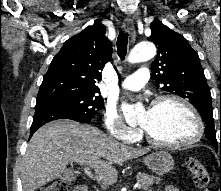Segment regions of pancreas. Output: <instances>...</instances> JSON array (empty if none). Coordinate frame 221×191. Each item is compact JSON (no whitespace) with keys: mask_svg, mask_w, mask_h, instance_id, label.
I'll return each mask as SVG.
<instances>
[{"mask_svg":"<svg viewBox=\"0 0 221 191\" xmlns=\"http://www.w3.org/2000/svg\"><path fill=\"white\" fill-rule=\"evenodd\" d=\"M136 179L142 185V188L146 189L153 184H159L161 179L159 177H155L153 175H148L145 173H138L136 175Z\"/></svg>","mask_w":221,"mask_h":191,"instance_id":"obj_1","label":"pancreas"}]
</instances>
